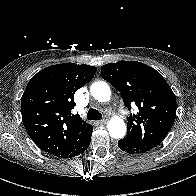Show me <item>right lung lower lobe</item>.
I'll list each match as a JSON object with an SVG mask.
<instances>
[{"label":"right lung lower lobe","mask_w":196,"mask_h":196,"mask_svg":"<svg viewBox=\"0 0 196 196\" xmlns=\"http://www.w3.org/2000/svg\"><path fill=\"white\" fill-rule=\"evenodd\" d=\"M92 131L93 128H91L84 136H82L71 148L54 156L60 158H72L82 154L90 144Z\"/></svg>","instance_id":"obj_1"}]
</instances>
